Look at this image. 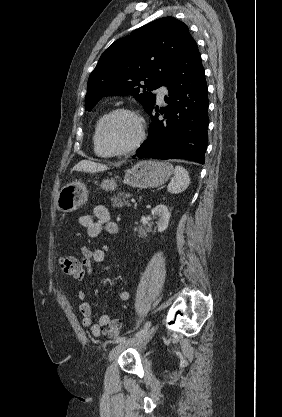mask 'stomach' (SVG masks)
<instances>
[{
	"label": "stomach",
	"instance_id": "1",
	"mask_svg": "<svg viewBox=\"0 0 282 417\" xmlns=\"http://www.w3.org/2000/svg\"><path fill=\"white\" fill-rule=\"evenodd\" d=\"M173 172V166L170 162L139 160L132 168L126 170L124 182L130 184V186H138V188H155V186L164 184ZM100 186L103 190H114L117 184L115 178H106ZM87 194V188L80 180H75V182L63 186L57 196L58 211H63V213L77 211L81 204L87 202Z\"/></svg>",
	"mask_w": 282,
	"mask_h": 417
}]
</instances>
